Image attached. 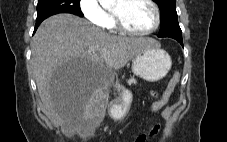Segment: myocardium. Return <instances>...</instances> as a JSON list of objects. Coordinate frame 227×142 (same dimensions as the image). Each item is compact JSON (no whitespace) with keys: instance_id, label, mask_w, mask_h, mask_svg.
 <instances>
[{"instance_id":"1","label":"myocardium","mask_w":227,"mask_h":142,"mask_svg":"<svg viewBox=\"0 0 227 142\" xmlns=\"http://www.w3.org/2000/svg\"><path fill=\"white\" fill-rule=\"evenodd\" d=\"M146 1L151 5V7L154 11V24L149 29L144 30V31L133 30L125 24L122 17L117 12L112 11V17H113L116 28L118 30H120L121 32H124L129 35H134V36H146V35H150L153 32H155L159 28L160 22H161L160 8L154 0H146Z\"/></svg>"}]
</instances>
